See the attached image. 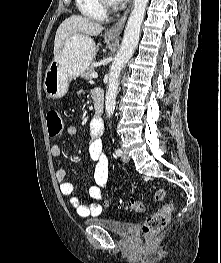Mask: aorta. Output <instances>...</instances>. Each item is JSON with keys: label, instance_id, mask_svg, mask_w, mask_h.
<instances>
[{"label": "aorta", "instance_id": "1", "mask_svg": "<svg viewBox=\"0 0 221 263\" xmlns=\"http://www.w3.org/2000/svg\"><path fill=\"white\" fill-rule=\"evenodd\" d=\"M148 2L149 0H134L133 9L125 27L119 52L111 65L108 87L105 96V110L108 118L112 116L115 110L121 71L128 60L132 57L139 42L141 25L144 20Z\"/></svg>", "mask_w": 221, "mask_h": 263}]
</instances>
